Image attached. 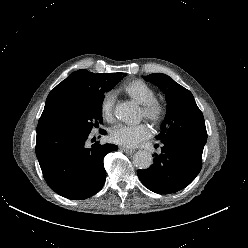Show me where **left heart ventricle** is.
<instances>
[{
	"label": "left heart ventricle",
	"mask_w": 248,
	"mask_h": 248,
	"mask_svg": "<svg viewBox=\"0 0 248 248\" xmlns=\"http://www.w3.org/2000/svg\"><path fill=\"white\" fill-rule=\"evenodd\" d=\"M140 115H141V117H143V114H142V111L140 110Z\"/></svg>",
	"instance_id": "1"
}]
</instances>
